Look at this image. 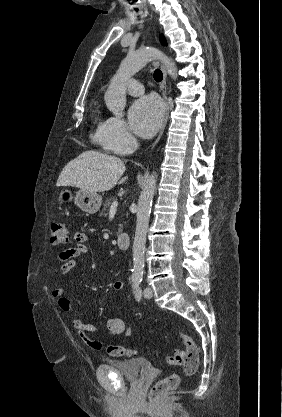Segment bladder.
Returning a JSON list of instances; mask_svg holds the SVG:
<instances>
[{"mask_svg": "<svg viewBox=\"0 0 282 417\" xmlns=\"http://www.w3.org/2000/svg\"><path fill=\"white\" fill-rule=\"evenodd\" d=\"M105 363L120 372L130 383L140 385L151 371V362L144 357L106 359Z\"/></svg>", "mask_w": 282, "mask_h": 417, "instance_id": "bladder-1", "label": "bladder"}]
</instances>
